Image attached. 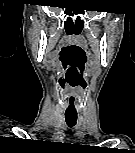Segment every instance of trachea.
Wrapping results in <instances>:
<instances>
[{
    "label": "trachea",
    "instance_id": "3493384b",
    "mask_svg": "<svg viewBox=\"0 0 135 153\" xmlns=\"http://www.w3.org/2000/svg\"><path fill=\"white\" fill-rule=\"evenodd\" d=\"M65 119H66L67 125L69 127H73L76 124L77 113L66 112Z\"/></svg>",
    "mask_w": 135,
    "mask_h": 153
}]
</instances>
